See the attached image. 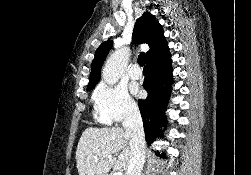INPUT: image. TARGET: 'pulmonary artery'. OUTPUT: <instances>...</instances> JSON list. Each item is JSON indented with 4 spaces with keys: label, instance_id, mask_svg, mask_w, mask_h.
I'll return each mask as SVG.
<instances>
[{
    "label": "pulmonary artery",
    "instance_id": "1",
    "mask_svg": "<svg viewBox=\"0 0 251 175\" xmlns=\"http://www.w3.org/2000/svg\"><path fill=\"white\" fill-rule=\"evenodd\" d=\"M142 75V71L136 64L133 65V68L130 70V76L132 78H139Z\"/></svg>",
    "mask_w": 251,
    "mask_h": 175
}]
</instances>
